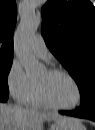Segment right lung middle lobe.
<instances>
[{
	"label": "right lung middle lobe",
	"mask_w": 95,
	"mask_h": 130,
	"mask_svg": "<svg viewBox=\"0 0 95 130\" xmlns=\"http://www.w3.org/2000/svg\"><path fill=\"white\" fill-rule=\"evenodd\" d=\"M12 60H0V93L1 94L3 93L9 94L7 75L11 69Z\"/></svg>",
	"instance_id": "right-lung-middle-lobe-1"
}]
</instances>
